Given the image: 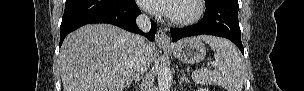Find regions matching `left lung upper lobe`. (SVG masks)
Masks as SVG:
<instances>
[{
  "instance_id": "1",
  "label": "left lung upper lobe",
  "mask_w": 304,
  "mask_h": 91,
  "mask_svg": "<svg viewBox=\"0 0 304 91\" xmlns=\"http://www.w3.org/2000/svg\"><path fill=\"white\" fill-rule=\"evenodd\" d=\"M214 0H205V4L213 2Z\"/></svg>"
}]
</instances>
